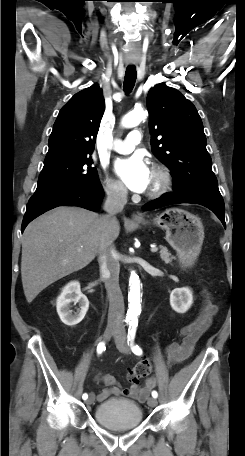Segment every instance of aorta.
Returning <instances> with one entry per match:
<instances>
[{
	"mask_svg": "<svg viewBox=\"0 0 245 456\" xmlns=\"http://www.w3.org/2000/svg\"><path fill=\"white\" fill-rule=\"evenodd\" d=\"M146 116L147 112L143 109H134L123 117L121 125L125 128L135 127L139 125ZM129 286L127 318L130 319L136 318L141 313L140 280L138 275L134 272L131 273Z\"/></svg>",
	"mask_w": 245,
	"mask_h": 456,
	"instance_id": "obj_1",
	"label": "aorta"
}]
</instances>
